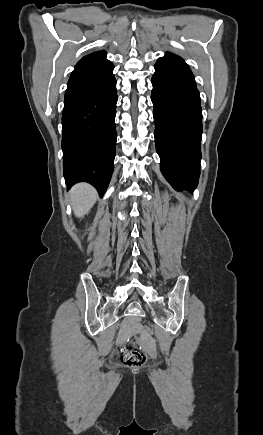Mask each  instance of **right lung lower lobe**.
Masks as SVG:
<instances>
[{"label": "right lung lower lobe", "instance_id": "right-lung-lower-lobe-1", "mask_svg": "<svg viewBox=\"0 0 263 435\" xmlns=\"http://www.w3.org/2000/svg\"><path fill=\"white\" fill-rule=\"evenodd\" d=\"M114 65L71 74L62 115L63 169L67 186L92 184L102 196L114 169L117 102Z\"/></svg>", "mask_w": 263, "mask_h": 435}]
</instances>
